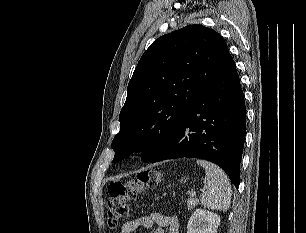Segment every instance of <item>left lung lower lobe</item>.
<instances>
[{"label":"left lung lower lobe","instance_id":"obj_1","mask_svg":"<svg viewBox=\"0 0 306 233\" xmlns=\"http://www.w3.org/2000/svg\"><path fill=\"white\" fill-rule=\"evenodd\" d=\"M246 134V107L231 55L162 149L149 162L194 157L211 161L238 188Z\"/></svg>","mask_w":306,"mask_h":233}]
</instances>
